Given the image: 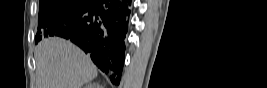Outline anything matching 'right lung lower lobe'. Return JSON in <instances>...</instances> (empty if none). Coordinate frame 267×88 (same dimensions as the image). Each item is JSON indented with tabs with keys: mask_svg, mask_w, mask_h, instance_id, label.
<instances>
[{
	"mask_svg": "<svg viewBox=\"0 0 267 88\" xmlns=\"http://www.w3.org/2000/svg\"><path fill=\"white\" fill-rule=\"evenodd\" d=\"M131 0H85L66 17L53 21L45 35L71 40L113 84H119L124 64Z\"/></svg>",
	"mask_w": 267,
	"mask_h": 88,
	"instance_id": "98d812e1",
	"label": "right lung lower lobe"
}]
</instances>
